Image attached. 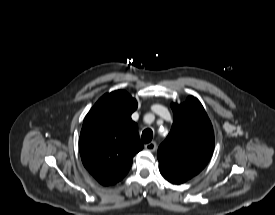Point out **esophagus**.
<instances>
[{
    "label": "esophagus",
    "instance_id": "esophagus-1",
    "mask_svg": "<svg viewBox=\"0 0 275 215\" xmlns=\"http://www.w3.org/2000/svg\"><path fill=\"white\" fill-rule=\"evenodd\" d=\"M145 149H146V150H149V151H151V152H154V151L157 149V144H156V142L152 141V142L146 144V145H145Z\"/></svg>",
    "mask_w": 275,
    "mask_h": 215
}]
</instances>
